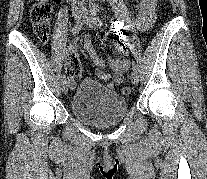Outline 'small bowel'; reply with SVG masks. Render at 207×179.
<instances>
[{"label": "small bowel", "instance_id": "c3829d8e", "mask_svg": "<svg viewBox=\"0 0 207 179\" xmlns=\"http://www.w3.org/2000/svg\"><path fill=\"white\" fill-rule=\"evenodd\" d=\"M156 0H141L136 7V17L133 20L134 27L139 31H148L155 21V8ZM84 49L88 53L92 62L95 64V76L104 81L105 87L109 90H113L117 85L123 81L124 74L129 69V60L125 57H113L109 59V64L114 71V75L111 76L104 71L105 62L102 57L97 53L92 41L89 37H86L83 41ZM115 48L121 53L125 52V47L121 43H116ZM70 51H73L70 48ZM70 85L73 87L74 82L70 80Z\"/></svg>", "mask_w": 207, "mask_h": 179}]
</instances>
